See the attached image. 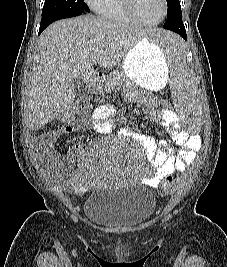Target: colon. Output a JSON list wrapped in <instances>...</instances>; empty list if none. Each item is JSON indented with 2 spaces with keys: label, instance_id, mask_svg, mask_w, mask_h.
<instances>
[{
  "label": "colon",
  "instance_id": "1",
  "mask_svg": "<svg viewBox=\"0 0 227 267\" xmlns=\"http://www.w3.org/2000/svg\"><path fill=\"white\" fill-rule=\"evenodd\" d=\"M160 109H174V104L172 100H163L162 104H160ZM89 109V102L87 99H80L75 102L73 106V110L71 113L67 114L64 119L63 123L66 127L70 126L74 120L75 116L77 115H84L87 113ZM164 178H167V188L168 192L171 191V184L173 182V178H177V173H164Z\"/></svg>",
  "mask_w": 227,
  "mask_h": 267
}]
</instances>
